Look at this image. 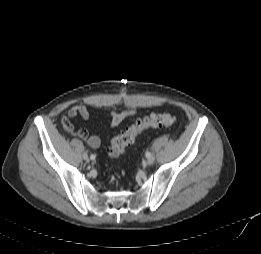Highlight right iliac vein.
<instances>
[{
  "mask_svg": "<svg viewBox=\"0 0 261 254\" xmlns=\"http://www.w3.org/2000/svg\"><path fill=\"white\" fill-rule=\"evenodd\" d=\"M83 158H84L85 161H89V158H88L86 153L83 154Z\"/></svg>",
  "mask_w": 261,
  "mask_h": 254,
  "instance_id": "1",
  "label": "right iliac vein"
}]
</instances>
